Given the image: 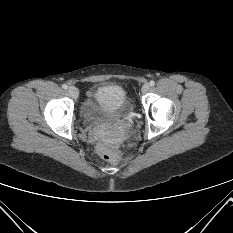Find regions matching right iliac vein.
<instances>
[{
    "instance_id": "63e3f726",
    "label": "right iliac vein",
    "mask_w": 233,
    "mask_h": 233,
    "mask_svg": "<svg viewBox=\"0 0 233 233\" xmlns=\"http://www.w3.org/2000/svg\"><path fill=\"white\" fill-rule=\"evenodd\" d=\"M68 92L73 98H77V96H78L77 88L71 86V87L68 88Z\"/></svg>"
}]
</instances>
